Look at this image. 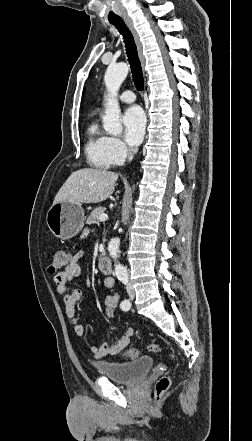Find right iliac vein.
<instances>
[{"mask_svg": "<svg viewBox=\"0 0 252 441\" xmlns=\"http://www.w3.org/2000/svg\"><path fill=\"white\" fill-rule=\"evenodd\" d=\"M129 294H130V297H133V293L132 292H130Z\"/></svg>", "mask_w": 252, "mask_h": 441, "instance_id": "obj_1", "label": "right iliac vein"}]
</instances>
